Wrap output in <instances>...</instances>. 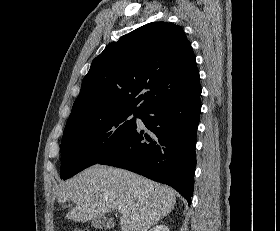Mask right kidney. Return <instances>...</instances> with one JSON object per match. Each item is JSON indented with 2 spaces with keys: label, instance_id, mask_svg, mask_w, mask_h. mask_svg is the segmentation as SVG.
Returning a JSON list of instances; mask_svg holds the SVG:
<instances>
[{
  "label": "right kidney",
  "instance_id": "obj_1",
  "mask_svg": "<svg viewBox=\"0 0 280 231\" xmlns=\"http://www.w3.org/2000/svg\"><path fill=\"white\" fill-rule=\"evenodd\" d=\"M150 231H169V227L167 225H154Z\"/></svg>",
  "mask_w": 280,
  "mask_h": 231
}]
</instances>
